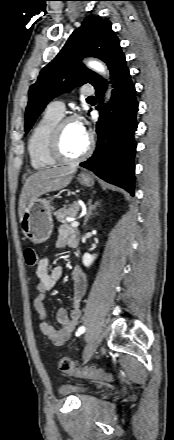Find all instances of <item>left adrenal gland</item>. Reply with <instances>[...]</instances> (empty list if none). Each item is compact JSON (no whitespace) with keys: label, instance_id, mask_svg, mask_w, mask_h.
<instances>
[{"label":"left adrenal gland","instance_id":"obj_1","mask_svg":"<svg viewBox=\"0 0 174 440\" xmlns=\"http://www.w3.org/2000/svg\"><path fill=\"white\" fill-rule=\"evenodd\" d=\"M89 207H88V212L85 215V220H84V226L87 224L88 219L90 218V216L92 215V212L96 209V207L99 205V202H96L94 205L91 204V201L89 202Z\"/></svg>","mask_w":174,"mask_h":440}]
</instances>
